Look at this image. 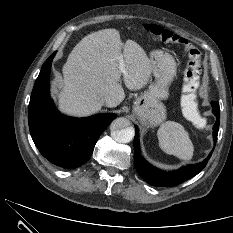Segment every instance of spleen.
I'll return each instance as SVG.
<instances>
[{
	"instance_id": "1",
	"label": "spleen",
	"mask_w": 233,
	"mask_h": 233,
	"mask_svg": "<svg viewBox=\"0 0 233 233\" xmlns=\"http://www.w3.org/2000/svg\"><path fill=\"white\" fill-rule=\"evenodd\" d=\"M184 113L193 122H198L196 104L192 102L184 108ZM160 148L169 155H174L182 160H190L193 157L194 146L185 128L174 121H166L158 130Z\"/></svg>"
}]
</instances>
